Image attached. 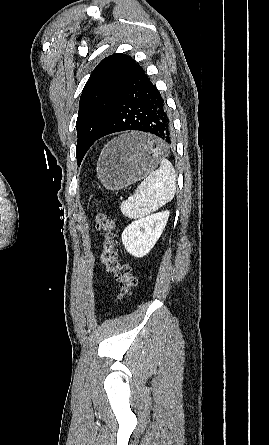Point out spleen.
Returning a JSON list of instances; mask_svg holds the SVG:
<instances>
[{"label":"spleen","instance_id":"obj_1","mask_svg":"<svg viewBox=\"0 0 269 445\" xmlns=\"http://www.w3.org/2000/svg\"><path fill=\"white\" fill-rule=\"evenodd\" d=\"M176 190V174L169 160L152 171L137 187L132 199L121 203V212L129 218H143L170 202Z\"/></svg>","mask_w":269,"mask_h":445}]
</instances>
